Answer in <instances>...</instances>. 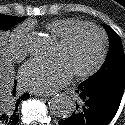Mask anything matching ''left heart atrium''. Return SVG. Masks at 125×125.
<instances>
[{"instance_id":"left-heart-atrium-1","label":"left heart atrium","mask_w":125,"mask_h":125,"mask_svg":"<svg viewBox=\"0 0 125 125\" xmlns=\"http://www.w3.org/2000/svg\"><path fill=\"white\" fill-rule=\"evenodd\" d=\"M72 71L61 57L52 60L33 59L20 69L19 80L23 87L35 93H50L72 78Z\"/></svg>"}]
</instances>
